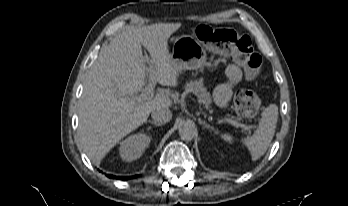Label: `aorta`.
Here are the masks:
<instances>
[{"label":"aorta","mask_w":348,"mask_h":206,"mask_svg":"<svg viewBox=\"0 0 348 206\" xmlns=\"http://www.w3.org/2000/svg\"><path fill=\"white\" fill-rule=\"evenodd\" d=\"M178 132L182 140L190 141L195 136V127L189 122H183L179 125Z\"/></svg>","instance_id":"762f6f07"}]
</instances>
